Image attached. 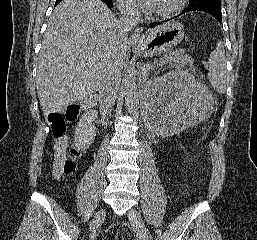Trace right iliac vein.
Listing matches in <instances>:
<instances>
[{
    "label": "right iliac vein",
    "instance_id": "obj_1",
    "mask_svg": "<svg viewBox=\"0 0 257 240\" xmlns=\"http://www.w3.org/2000/svg\"><path fill=\"white\" fill-rule=\"evenodd\" d=\"M106 215V209L102 208L100 209L94 216L91 224H90V230L94 231L95 229H97L101 223L103 222L104 218Z\"/></svg>",
    "mask_w": 257,
    "mask_h": 240
}]
</instances>
